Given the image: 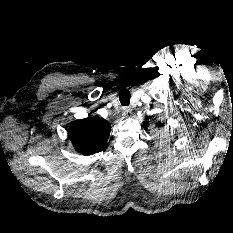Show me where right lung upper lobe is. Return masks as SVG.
<instances>
[{
    "instance_id": "1",
    "label": "right lung upper lobe",
    "mask_w": 233,
    "mask_h": 233,
    "mask_svg": "<svg viewBox=\"0 0 233 233\" xmlns=\"http://www.w3.org/2000/svg\"><path fill=\"white\" fill-rule=\"evenodd\" d=\"M110 129L108 121L88 117L74 122L68 130V137L78 152L83 155H91L105 147Z\"/></svg>"
}]
</instances>
